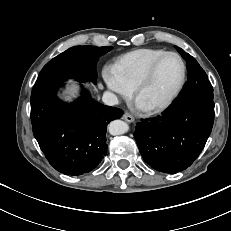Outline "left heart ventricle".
Here are the masks:
<instances>
[{"label":"left heart ventricle","instance_id":"left-heart-ventricle-1","mask_svg":"<svg viewBox=\"0 0 231 231\" xmlns=\"http://www.w3.org/2000/svg\"><path fill=\"white\" fill-rule=\"evenodd\" d=\"M181 63L175 56L166 57L158 66L153 78L138 96L145 106L164 100L178 85L181 77Z\"/></svg>","mask_w":231,"mask_h":231}]
</instances>
